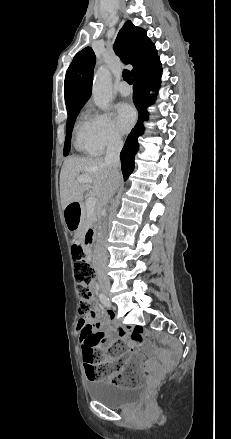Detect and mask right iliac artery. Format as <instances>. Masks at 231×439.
Instances as JSON below:
<instances>
[{
	"mask_svg": "<svg viewBox=\"0 0 231 439\" xmlns=\"http://www.w3.org/2000/svg\"><path fill=\"white\" fill-rule=\"evenodd\" d=\"M99 298H100V301H101L102 304H104L107 307H110L109 299H108V297L105 294L101 293Z\"/></svg>",
	"mask_w": 231,
	"mask_h": 439,
	"instance_id": "1",
	"label": "right iliac artery"
}]
</instances>
